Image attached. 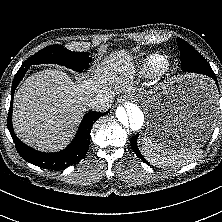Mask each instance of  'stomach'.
Returning a JSON list of instances; mask_svg holds the SVG:
<instances>
[{
  "label": "stomach",
  "mask_w": 222,
  "mask_h": 222,
  "mask_svg": "<svg viewBox=\"0 0 222 222\" xmlns=\"http://www.w3.org/2000/svg\"><path fill=\"white\" fill-rule=\"evenodd\" d=\"M217 95L210 80L182 75L162 83L145 100L146 135L170 148H200L215 125Z\"/></svg>",
  "instance_id": "obj_1"
}]
</instances>
